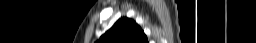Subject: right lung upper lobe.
Segmentation results:
<instances>
[{
    "label": "right lung upper lobe",
    "instance_id": "cb5924a9",
    "mask_svg": "<svg viewBox=\"0 0 256 43\" xmlns=\"http://www.w3.org/2000/svg\"><path fill=\"white\" fill-rule=\"evenodd\" d=\"M97 43H148V39L134 20L121 18Z\"/></svg>",
    "mask_w": 256,
    "mask_h": 43
}]
</instances>
